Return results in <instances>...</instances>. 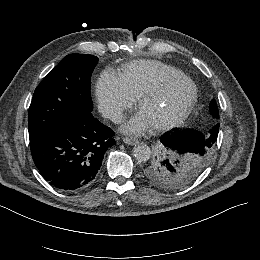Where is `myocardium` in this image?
<instances>
[{
    "mask_svg": "<svg viewBox=\"0 0 260 260\" xmlns=\"http://www.w3.org/2000/svg\"><path fill=\"white\" fill-rule=\"evenodd\" d=\"M179 81H185L187 82L191 88H192V93L185 105L182 107V109L176 113L175 115L166 118L163 121H160L158 123H155L153 125V129L156 131H162V130H167L170 128H173L177 125H179L190 113L194 105L196 104L198 100V88L196 84L192 81L191 78H189L185 74H180L175 77H168V78H163L156 83H154L150 88H148L146 91L143 92V94L140 96L139 99V106L142 107L145 105L151 98L156 97L159 95L167 86L179 82Z\"/></svg>",
    "mask_w": 260,
    "mask_h": 260,
    "instance_id": "1",
    "label": "myocardium"
}]
</instances>
